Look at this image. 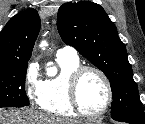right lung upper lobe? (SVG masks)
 I'll return each instance as SVG.
<instances>
[{
    "label": "right lung upper lobe",
    "mask_w": 145,
    "mask_h": 124,
    "mask_svg": "<svg viewBox=\"0 0 145 124\" xmlns=\"http://www.w3.org/2000/svg\"><path fill=\"white\" fill-rule=\"evenodd\" d=\"M40 25L39 15L33 8L12 17L0 32V64L29 60Z\"/></svg>",
    "instance_id": "obj_1"
}]
</instances>
